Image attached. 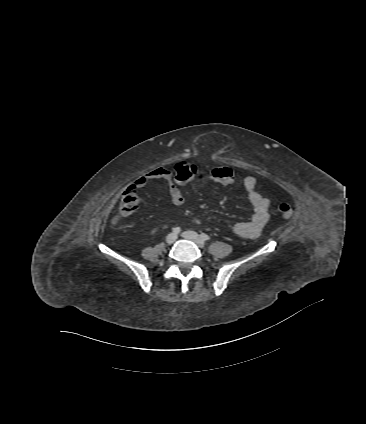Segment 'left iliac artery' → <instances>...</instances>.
<instances>
[{"label":"left iliac artery","instance_id":"left-iliac-artery-1","mask_svg":"<svg viewBox=\"0 0 366 424\" xmlns=\"http://www.w3.org/2000/svg\"><path fill=\"white\" fill-rule=\"evenodd\" d=\"M200 236H201V238H202L203 240H205V241H207V240H209V239H210V237H209L207 234H205V233H202Z\"/></svg>","mask_w":366,"mask_h":424}]
</instances>
